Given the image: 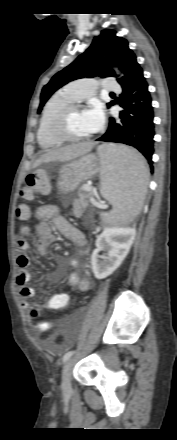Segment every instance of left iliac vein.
<instances>
[{"mask_svg":"<svg viewBox=\"0 0 177 440\" xmlns=\"http://www.w3.org/2000/svg\"><path fill=\"white\" fill-rule=\"evenodd\" d=\"M73 366V359H68L63 367L62 372V389L64 391H68L70 389V375H71V368Z\"/></svg>","mask_w":177,"mask_h":440,"instance_id":"4c4485c4","label":"left iliac vein"}]
</instances>
